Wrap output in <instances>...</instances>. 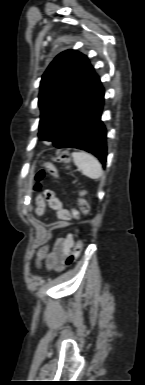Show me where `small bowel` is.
Returning <instances> with one entry per match:
<instances>
[{"instance_id":"1","label":"small bowel","mask_w":145,"mask_h":385,"mask_svg":"<svg viewBox=\"0 0 145 385\" xmlns=\"http://www.w3.org/2000/svg\"><path fill=\"white\" fill-rule=\"evenodd\" d=\"M47 204L57 215L58 221L53 223L55 228L65 227L72 220L78 218L72 213V210H68L63 205L52 190H46L43 195L36 198L35 213L38 216L43 215ZM73 246L74 239L71 234H67L65 237L55 239L51 247L48 245L41 247L37 252L36 268L41 269L42 261H44L45 267L49 270H63L69 264L68 259Z\"/></svg>"}]
</instances>
